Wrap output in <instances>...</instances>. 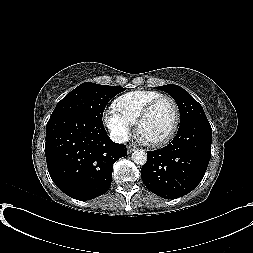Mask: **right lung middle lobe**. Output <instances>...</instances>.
<instances>
[{"label":"right lung middle lobe","mask_w":253,"mask_h":253,"mask_svg":"<svg viewBox=\"0 0 253 253\" xmlns=\"http://www.w3.org/2000/svg\"><path fill=\"white\" fill-rule=\"evenodd\" d=\"M124 90L120 86L99 85L91 82L82 83L58 102L51 117L66 113H77L102 122L107 103Z\"/></svg>","instance_id":"1"}]
</instances>
